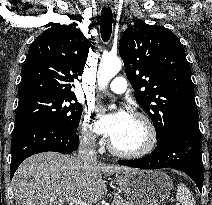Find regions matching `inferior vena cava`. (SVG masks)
<instances>
[{
  "mask_svg": "<svg viewBox=\"0 0 212 205\" xmlns=\"http://www.w3.org/2000/svg\"><path fill=\"white\" fill-rule=\"evenodd\" d=\"M78 157L84 163L97 162V153L95 150V139L89 135H84L80 139L78 147Z\"/></svg>",
  "mask_w": 212,
  "mask_h": 205,
  "instance_id": "inferior-vena-cava-1",
  "label": "inferior vena cava"
}]
</instances>
